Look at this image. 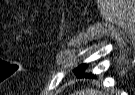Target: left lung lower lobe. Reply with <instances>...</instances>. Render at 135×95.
Wrapping results in <instances>:
<instances>
[{"label": "left lung lower lobe", "instance_id": "0a47b994", "mask_svg": "<svg viewBox=\"0 0 135 95\" xmlns=\"http://www.w3.org/2000/svg\"><path fill=\"white\" fill-rule=\"evenodd\" d=\"M85 67H86V65H84L83 68H79V69L75 70V73H76V75L78 77H92V74L91 73L90 74H85L84 73ZM93 77H95V76H93Z\"/></svg>", "mask_w": 135, "mask_h": 95}]
</instances>
